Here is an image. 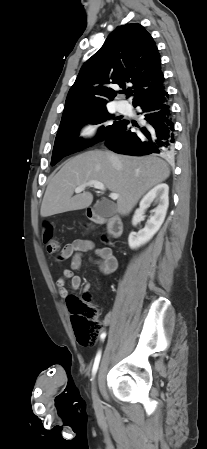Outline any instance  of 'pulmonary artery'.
Returning <instances> with one entry per match:
<instances>
[{
  "instance_id": "pulmonary-artery-1",
  "label": "pulmonary artery",
  "mask_w": 207,
  "mask_h": 449,
  "mask_svg": "<svg viewBox=\"0 0 207 449\" xmlns=\"http://www.w3.org/2000/svg\"><path fill=\"white\" fill-rule=\"evenodd\" d=\"M117 108H118L119 111L124 112V111L127 110V105L125 103H123V102H119L117 104Z\"/></svg>"
}]
</instances>
